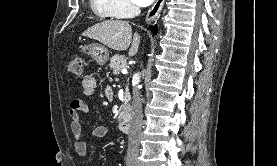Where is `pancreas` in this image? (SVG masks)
<instances>
[{
    "instance_id": "obj_1",
    "label": "pancreas",
    "mask_w": 277,
    "mask_h": 166,
    "mask_svg": "<svg viewBox=\"0 0 277 166\" xmlns=\"http://www.w3.org/2000/svg\"><path fill=\"white\" fill-rule=\"evenodd\" d=\"M126 64H127V60L123 55H114L110 59V63L108 67L113 70V73L115 75H119L121 70L126 67ZM129 111H130V106L126 102L125 105L123 106V112L127 114L129 113Z\"/></svg>"
}]
</instances>
